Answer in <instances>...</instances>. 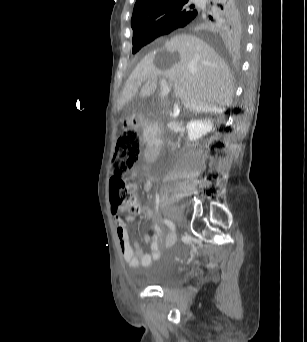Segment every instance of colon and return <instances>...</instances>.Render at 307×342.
<instances>
[{
	"label": "colon",
	"mask_w": 307,
	"mask_h": 342,
	"mask_svg": "<svg viewBox=\"0 0 307 342\" xmlns=\"http://www.w3.org/2000/svg\"><path fill=\"white\" fill-rule=\"evenodd\" d=\"M142 139L136 131L129 130L123 132L117 142V147L114 153V164H113V180L110 186V196L113 204L119 208L116 204V191H123V204L128 205V219L140 212V205L135 197L128 192L124 182L126 174L135 169L140 153H141Z\"/></svg>",
	"instance_id": "colon-1"
}]
</instances>
